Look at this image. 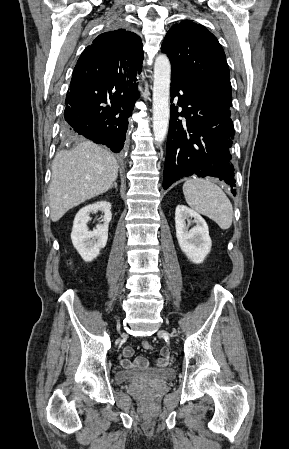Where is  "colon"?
I'll use <instances>...</instances> for the list:
<instances>
[{
    "label": "colon",
    "instance_id": "obj_1",
    "mask_svg": "<svg viewBox=\"0 0 289 449\" xmlns=\"http://www.w3.org/2000/svg\"><path fill=\"white\" fill-rule=\"evenodd\" d=\"M142 346H143V348H144L145 350H151V349H152V345H151V343L148 342V341H143V342H142Z\"/></svg>",
    "mask_w": 289,
    "mask_h": 449
}]
</instances>
